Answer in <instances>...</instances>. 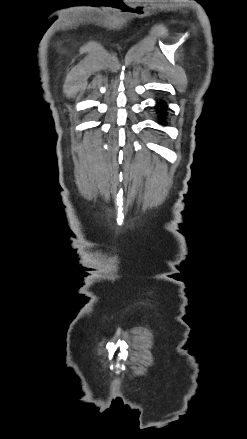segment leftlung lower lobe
Returning a JSON list of instances; mask_svg holds the SVG:
<instances>
[{"label": "left lung lower lobe", "mask_w": 247, "mask_h": 439, "mask_svg": "<svg viewBox=\"0 0 247 439\" xmlns=\"http://www.w3.org/2000/svg\"><path fill=\"white\" fill-rule=\"evenodd\" d=\"M157 109H158L159 111H162V112H164L165 110H167L166 106H164L162 103H158V104H157Z\"/></svg>", "instance_id": "0a47b994"}]
</instances>
